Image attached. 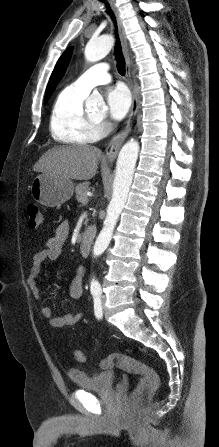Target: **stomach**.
Wrapping results in <instances>:
<instances>
[{"instance_id": "obj_1", "label": "stomach", "mask_w": 219, "mask_h": 447, "mask_svg": "<svg viewBox=\"0 0 219 447\" xmlns=\"http://www.w3.org/2000/svg\"><path fill=\"white\" fill-rule=\"evenodd\" d=\"M30 191L36 202L46 207H55L72 197L74 183L51 173H42L33 179Z\"/></svg>"}]
</instances>
